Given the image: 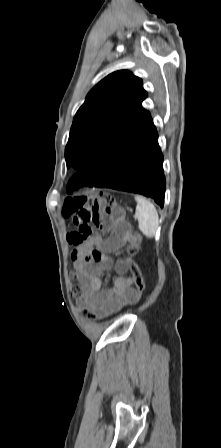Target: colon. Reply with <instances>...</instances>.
<instances>
[{"mask_svg": "<svg viewBox=\"0 0 221 448\" xmlns=\"http://www.w3.org/2000/svg\"><path fill=\"white\" fill-rule=\"evenodd\" d=\"M63 215L66 218H72L73 223L77 226V231L82 240L87 239L91 233L93 226L104 224H120L122 223V214L115 210L114 199L111 195L99 192L90 196H72L68 197L63 206ZM133 241L125 248V262L132 274L134 285L139 295L144 291V282L141 270L138 264L132 259L137 253L141 237L138 233L133 232ZM102 257V252L93 249L86 254L85 259L92 263H97ZM72 281H75L76 274L71 273ZM81 293L79 286L74 285L72 295L78 297Z\"/></svg>", "mask_w": 221, "mask_h": 448, "instance_id": "colon-1", "label": "colon"}]
</instances>
